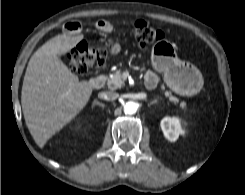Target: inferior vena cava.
Returning <instances> with one entry per match:
<instances>
[{"mask_svg": "<svg viewBox=\"0 0 245 195\" xmlns=\"http://www.w3.org/2000/svg\"><path fill=\"white\" fill-rule=\"evenodd\" d=\"M98 97L107 101H113L118 98V93L113 91H106L99 93Z\"/></svg>", "mask_w": 245, "mask_h": 195, "instance_id": "1", "label": "inferior vena cava"}]
</instances>
